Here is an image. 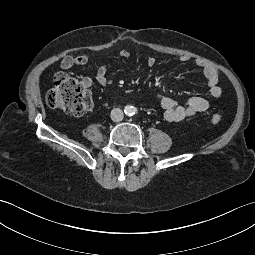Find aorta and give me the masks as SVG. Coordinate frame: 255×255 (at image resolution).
I'll return each instance as SVG.
<instances>
[{
    "label": "aorta",
    "mask_w": 255,
    "mask_h": 255,
    "mask_svg": "<svg viewBox=\"0 0 255 255\" xmlns=\"http://www.w3.org/2000/svg\"><path fill=\"white\" fill-rule=\"evenodd\" d=\"M124 111L127 115L131 116L135 113V108L133 106H126Z\"/></svg>",
    "instance_id": "1"
}]
</instances>
